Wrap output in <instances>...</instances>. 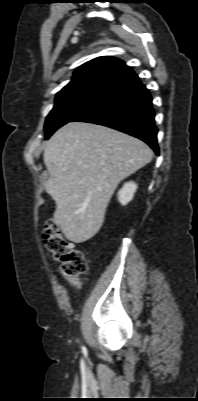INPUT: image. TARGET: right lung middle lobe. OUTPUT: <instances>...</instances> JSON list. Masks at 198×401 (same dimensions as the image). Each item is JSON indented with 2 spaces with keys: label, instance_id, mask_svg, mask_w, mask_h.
<instances>
[{
  "label": "right lung middle lobe",
  "instance_id": "dd1d6c3e",
  "mask_svg": "<svg viewBox=\"0 0 198 401\" xmlns=\"http://www.w3.org/2000/svg\"><path fill=\"white\" fill-rule=\"evenodd\" d=\"M108 92L107 89H80L57 96L46 118L45 138L48 139L64 124L76 121L96 108Z\"/></svg>",
  "mask_w": 198,
  "mask_h": 401
}]
</instances>
